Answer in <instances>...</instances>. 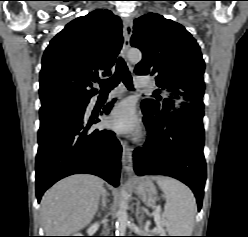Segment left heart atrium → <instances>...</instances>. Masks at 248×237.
I'll use <instances>...</instances> for the list:
<instances>
[{"label": "left heart atrium", "mask_w": 248, "mask_h": 237, "mask_svg": "<svg viewBox=\"0 0 248 237\" xmlns=\"http://www.w3.org/2000/svg\"><path fill=\"white\" fill-rule=\"evenodd\" d=\"M106 124L114 132L125 135L135 134L139 129L134 107L127 101L119 103L112 109Z\"/></svg>", "instance_id": "left-heart-atrium-1"}]
</instances>
